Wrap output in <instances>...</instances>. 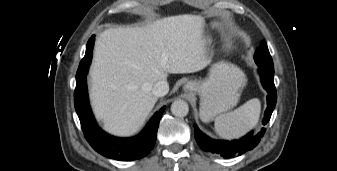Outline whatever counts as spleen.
<instances>
[{"mask_svg": "<svg viewBox=\"0 0 337 171\" xmlns=\"http://www.w3.org/2000/svg\"><path fill=\"white\" fill-rule=\"evenodd\" d=\"M260 112V101L253 98L234 111L216 117L215 131L224 139L239 138L258 123Z\"/></svg>", "mask_w": 337, "mask_h": 171, "instance_id": "spleen-1", "label": "spleen"}]
</instances>
